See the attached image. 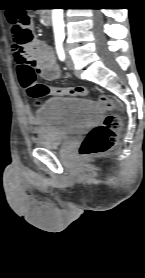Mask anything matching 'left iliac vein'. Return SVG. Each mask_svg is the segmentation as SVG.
<instances>
[{
  "mask_svg": "<svg viewBox=\"0 0 145 278\" xmlns=\"http://www.w3.org/2000/svg\"><path fill=\"white\" fill-rule=\"evenodd\" d=\"M65 51H66V66H67L68 69L72 70V69H73L72 57H71L70 54L68 53L66 47H65Z\"/></svg>",
  "mask_w": 145,
  "mask_h": 278,
  "instance_id": "left-iliac-vein-1",
  "label": "left iliac vein"
}]
</instances>
